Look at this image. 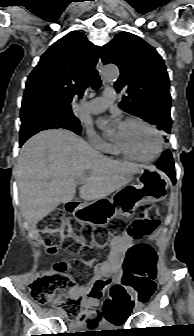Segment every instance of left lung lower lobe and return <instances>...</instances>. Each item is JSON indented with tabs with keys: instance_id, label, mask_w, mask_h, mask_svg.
Returning <instances> with one entry per match:
<instances>
[{
	"instance_id": "0a47b994",
	"label": "left lung lower lobe",
	"mask_w": 194,
	"mask_h": 336,
	"mask_svg": "<svg viewBox=\"0 0 194 336\" xmlns=\"http://www.w3.org/2000/svg\"><path fill=\"white\" fill-rule=\"evenodd\" d=\"M157 167L162 171H164L171 178L173 184L175 183L176 174L174 168V161L169 151H166L163 154V158L161 162L157 165Z\"/></svg>"
}]
</instances>
